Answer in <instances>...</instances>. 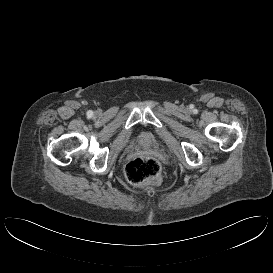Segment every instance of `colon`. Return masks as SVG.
Instances as JSON below:
<instances>
[{
  "mask_svg": "<svg viewBox=\"0 0 273 273\" xmlns=\"http://www.w3.org/2000/svg\"><path fill=\"white\" fill-rule=\"evenodd\" d=\"M124 176L134 186L155 185L161 181V165L154 158L141 156L126 164Z\"/></svg>",
  "mask_w": 273,
  "mask_h": 273,
  "instance_id": "obj_1",
  "label": "colon"
}]
</instances>
